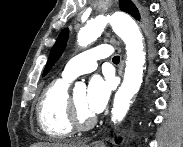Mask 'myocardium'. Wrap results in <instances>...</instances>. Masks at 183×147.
Wrapping results in <instances>:
<instances>
[{
	"instance_id": "myocardium-1",
	"label": "myocardium",
	"mask_w": 183,
	"mask_h": 147,
	"mask_svg": "<svg viewBox=\"0 0 183 147\" xmlns=\"http://www.w3.org/2000/svg\"><path fill=\"white\" fill-rule=\"evenodd\" d=\"M69 117L73 127L77 130H88L96 123V117L84 118L80 115L73 98L69 97Z\"/></svg>"
}]
</instances>
